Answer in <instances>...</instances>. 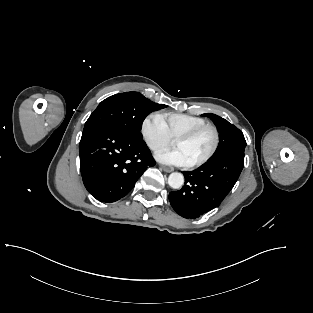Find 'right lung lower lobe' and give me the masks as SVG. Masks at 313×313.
<instances>
[{"instance_id": "obj_1", "label": "right lung lower lobe", "mask_w": 313, "mask_h": 313, "mask_svg": "<svg viewBox=\"0 0 313 313\" xmlns=\"http://www.w3.org/2000/svg\"><path fill=\"white\" fill-rule=\"evenodd\" d=\"M79 155L86 189L106 203L127 195L144 171L156 163L143 139L110 126H96L83 132Z\"/></svg>"}]
</instances>
